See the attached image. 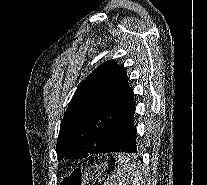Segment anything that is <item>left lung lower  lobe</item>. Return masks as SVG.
<instances>
[{
	"label": "left lung lower lobe",
	"mask_w": 207,
	"mask_h": 185,
	"mask_svg": "<svg viewBox=\"0 0 207 185\" xmlns=\"http://www.w3.org/2000/svg\"><path fill=\"white\" fill-rule=\"evenodd\" d=\"M135 106L119 121L111 132L101 153H137L136 129L134 127Z\"/></svg>",
	"instance_id": "left-lung-lower-lobe-1"
}]
</instances>
